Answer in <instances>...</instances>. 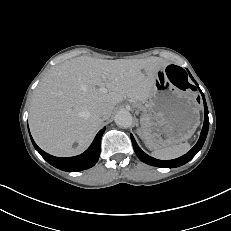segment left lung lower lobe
Wrapping results in <instances>:
<instances>
[{
	"label": "left lung lower lobe",
	"instance_id": "left-lung-lower-lobe-1",
	"mask_svg": "<svg viewBox=\"0 0 231 231\" xmlns=\"http://www.w3.org/2000/svg\"><path fill=\"white\" fill-rule=\"evenodd\" d=\"M196 85H197V83H196ZM199 90H200V88H199ZM200 92L202 94V98L204 101V125H203V129L201 131V134H200V138H199L198 142L196 143V145L187 154H185V155H183L177 159L164 161V160L155 159L151 156H148L146 153H144L141 150V148L137 145L134 137L131 135V140H132L134 151L141 161L145 162L146 164L156 166V167L175 168V167H179V166L184 165L185 163L190 161L199 152V150L202 148V146L205 142V139H206V136L208 133V128H209L207 104L205 101L204 94L202 93L201 90H200Z\"/></svg>",
	"mask_w": 231,
	"mask_h": 231
}]
</instances>
